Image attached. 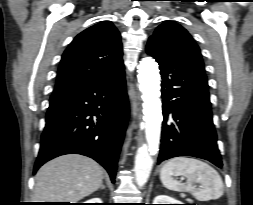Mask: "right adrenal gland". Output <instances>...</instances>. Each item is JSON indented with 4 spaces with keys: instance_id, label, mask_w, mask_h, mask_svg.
I'll return each mask as SVG.
<instances>
[{
    "instance_id": "2a0ac1e0",
    "label": "right adrenal gland",
    "mask_w": 253,
    "mask_h": 205,
    "mask_svg": "<svg viewBox=\"0 0 253 205\" xmlns=\"http://www.w3.org/2000/svg\"><path fill=\"white\" fill-rule=\"evenodd\" d=\"M100 188H101V189H105V186H104V184H102Z\"/></svg>"
}]
</instances>
